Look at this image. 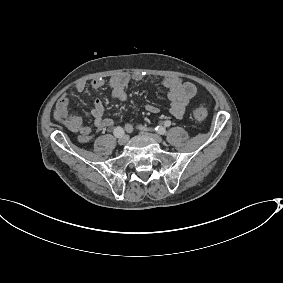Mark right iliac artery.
<instances>
[{
  "label": "right iliac artery",
  "mask_w": 283,
  "mask_h": 283,
  "mask_svg": "<svg viewBox=\"0 0 283 283\" xmlns=\"http://www.w3.org/2000/svg\"><path fill=\"white\" fill-rule=\"evenodd\" d=\"M124 130H123V128H121V127H116L115 129H114V131H113V134L117 137V138H119V137H122L123 135H124Z\"/></svg>",
  "instance_id": "obj_1"
}]
</instances>
